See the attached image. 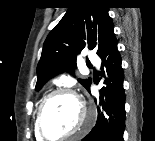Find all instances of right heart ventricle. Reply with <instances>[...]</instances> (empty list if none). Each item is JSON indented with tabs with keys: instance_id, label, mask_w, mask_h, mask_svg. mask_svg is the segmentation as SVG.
Segmentation results:
<instances>
[{
	"instance_id": "1",
	"label": "right heart ventricle",
	"mask_w": 155,
	"mask_h": 141,
	"mask_svg": "<svg viewBox=\"0 0 155 141\" xmlns=\"http://www.w3.org/2000/svg\"><path fill=\"white\" fill-rule=\"evenodd\" d=\"M35 136H36V139H37V140H40V139H41V138L39 137L37 131H36V127H35Z\"/></svg>"
}]
</instances>
